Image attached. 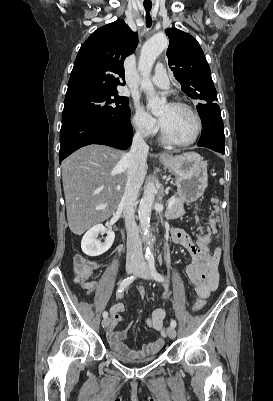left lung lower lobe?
<instances>
[{
  "label": "left lung lower lobe",
  "instance_id": "left-lung-lower-lobe-1",
  "mask_svg": "<svg viewBox=\"0 0 273 401\" xmlns=\"http://www.w3.org/2000/svg\"><path fill=\"white\" fill-rule=\"evenodd\" d=\"M197 110L203 124V132L197 145L225 154L223 121L218 104H199Z\"/></svg>",
  "mask_w": 273,
  "mask_h": 401
}]
</instances>
